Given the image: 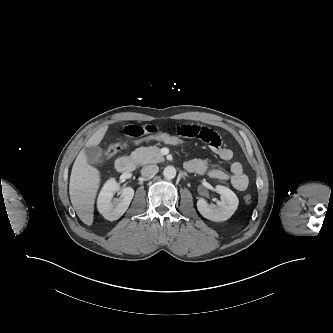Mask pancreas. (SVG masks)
<instances>
[{"label": "pancreas", "instance_id": "cf45deb5", "mask_svg": "<svg viewBox=\"0 0 333 333\" xmlns=\"http://www.w3.org/2000/svg\"><path fill=\"white\" fill-rule=\"evenodd\" d=\"M130 158L138 165L156 164L165 160L157 146L139 147L131 153Z\"/></svg>", "mask_w": 333, "mask_h": 333}]
</instances>
